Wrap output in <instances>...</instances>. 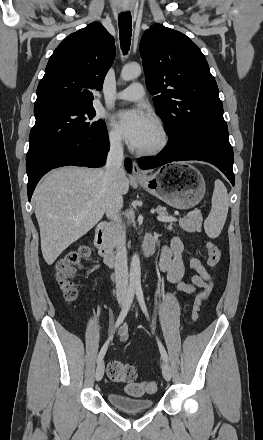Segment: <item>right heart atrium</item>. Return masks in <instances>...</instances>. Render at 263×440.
I'll use <instances>...</instances> for the list:
<instances>
[{"label": "right heart atrium", "instance_id": "obj_1", "mask_svg": "<svg viewBox=\"0 0 263 440\" xmlns=\"http://www.w3.org/2000/svg\"><path fill=\"white\" fill-rule=\"evenodd\" d=\"M107 141L112 147H120L122 145V138L115 128L109 127L107 131Z\"/></svg>", "mask_w": 263, "mask_h": 440}]
</instances>
